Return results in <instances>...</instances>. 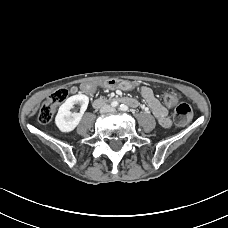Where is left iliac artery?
<instances>
[{
  "label": "left iliac artery",
  "instance_id": "44dca946",
  "mask_svg": "<svg viewBox=\"0 0 228 228\" xmlns=\"http://www.w3.org/2000/svg\"><path fill=\"white\" fill-rule=\"evenodd\" d=\"M119 110L120 111H127L128 110V107L124 104H121L120 107H119Z\"/></svg>",
  "mask_w": 228,
  "mask_h": 228
}]
</instances>
